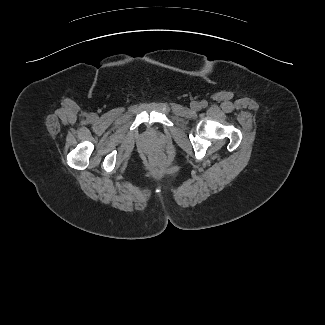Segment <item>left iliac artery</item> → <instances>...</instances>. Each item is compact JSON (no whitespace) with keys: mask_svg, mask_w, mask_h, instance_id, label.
I'll use <instances>...</instances> for the list:
<instances>
[{"mask_svg":"<svg viewBox=\"0 0 325 325\" xmlns=\"http://www.w3.org/2000/svg\"><path fill=\"white\" fill-rule=\"evenodd\" d=\"M207 105H208V103H207L206 101H202V102H201V107H202V108L207 107Z\"/></svg>","mask_w":325,"mask_h":325,"instance_id":"left-iliac-artery-1","label":"left iliac artery"}]
</instances>
